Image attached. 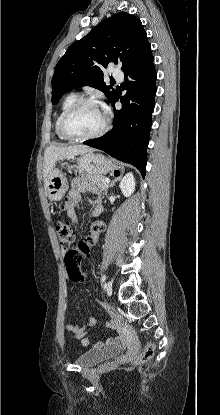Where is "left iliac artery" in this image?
Instances as JSON below:
<instances>
[{
  "label": "left iliac artery",
  "mask_w": 220,
  "mask_h": 415,
  "mask_svg": "<svg viewBox=\"0 0 220 415\" xmlns=\"http://www.w3.org/2000/svg\"><path fill=\"white\" fill-rule=\"evenodd\" d=\"M105 280H106V275H105V274H103V275H102V278H101V282H102V283H104V282H105Z\"/></svg>",
  "instance_id": "left-iliac-artery-1"
}]
</instances>
